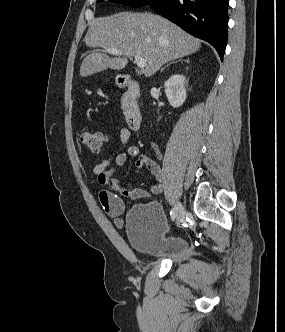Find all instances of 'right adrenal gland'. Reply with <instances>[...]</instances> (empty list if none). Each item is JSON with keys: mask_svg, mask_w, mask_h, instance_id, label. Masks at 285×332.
I'll return each instance as SVG.
<instances>
[{"mask_svg": "<svg viewBox=\"0 0 285 332\" xmlns=\"http://www.w3.org/2000/svg\"><path fill=\"white\" fill-rule=\"evenodd\" d=\"M178 61H183V60L180 59V60H178ZM184 61H185L186 63H189V59H186V60H184ZM171 63H173V62H171ZM171 63H169L167 66H169ZM167 66H166V67H167ZM164 69H165V67L161 69V72H162Z\"/></svg>", "mask_w": 285, "mask_h": 332, "instance_id": "obj_1", "label": "right adrenal gland"}]
</instances>
